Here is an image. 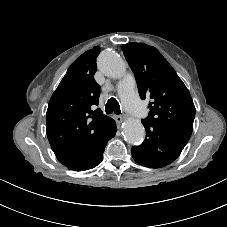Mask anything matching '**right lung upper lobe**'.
Segmentation results:
<instances>
[{
	"instance_id": "1",
	"label": "right lung upper lobe",
	"mask_w": 227,
	"mask_h": 227,
	"mask_svg": "<svg viewBox=\"0 0 227 227\" xmlns=\"http://www.w3.org/2000/svg\"><path fill=\"white\" fill-rule=\"evenodd\" d=\"M99 53L96 46L79 56L49 101L47 137L62 164L91 151L112 120L101 109L92 110L99 104L100 86L94 80Z\"/></svg>"
}]
</instances>
